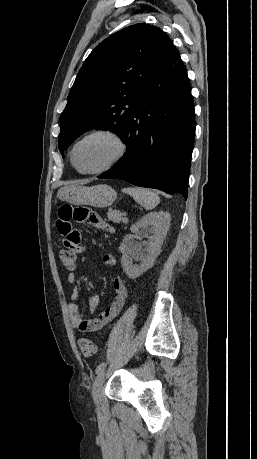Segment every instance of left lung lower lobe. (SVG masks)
Segmentation results:
<instances>
[{"label": "left lung lower lobe", "instance_id": "0a47b994", "mask_svg": "<svg viewBox=\"0 0 257 459\" xmlns=\"http://www.w3.org/2000/svg\"><path fill=\"white\" fill-rule=\"evenodd\" d=\"M138 101L122 136L125 156L99 178L187 198L195 114L187 71L175 47Z\"/></svg>", "mask_w": 257, "mask_h": 459}]
</instances>
